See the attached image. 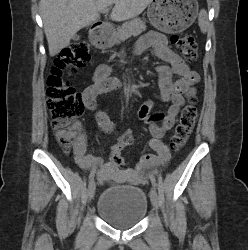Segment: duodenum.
I'll return each instance as SVG.
<instances>
[{
    "label": "duodenum",
    "mask_w": 248,
    "mask_h": 250,
    "mask_svg": "<svg viewBox=\"0 0 248 250\" xmlns=\"http://www.w3.org/2000/svg\"><path fill=\"white\" fill-rule=\"evenodd\" d=\"M105 26H106V23L104 22H97L93 24L91 27V38L93 40H101L100 31L104 29Z\"/></svg>",
    "instance_id": "obj_1"
}]
</instances>
